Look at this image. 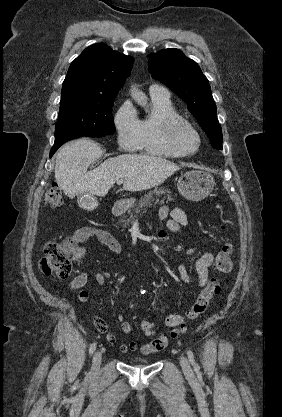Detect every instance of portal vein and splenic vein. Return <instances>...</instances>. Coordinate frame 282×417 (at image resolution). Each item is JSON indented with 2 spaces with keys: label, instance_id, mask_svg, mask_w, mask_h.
Listing matches in <instances>:
<instances>
[{
  "label": "portal vein and splenic vein",
  "instance_id": "18ae733b",
  "mask_svg": "<svg viewBox=\"0 0 282 417\" xmlns=\"http://www.w3.org/2000/svg\"><path fill=\"white\" fill-rule=\"evenodd\" d=\"M123 180L120 178V180H117V184H122Z\"/></svg>",
  "mask_w": 282,
  "mask_h": 417
}]
</instances>
